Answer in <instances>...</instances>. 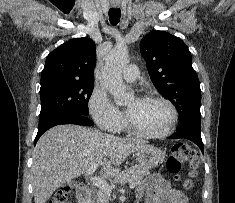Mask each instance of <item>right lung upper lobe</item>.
I'll list each match as a JSON object with an SVG mask.
<instances>
[{"label": "right lung upper lobe", "instance_id": "1", "mask_svg": "<svg viewBox=\"0 0 235 203\" xmlns=\"http://www.w3.org/2000/svg\"><path fill=\"white\" fill-rule=\"evenodd\" d=\"M95 43L89 38L70 40L46 58L41 86L61 81H93Z\"/></svg>", "mask_w": 235, "mask_h": 203}]
</instances>
